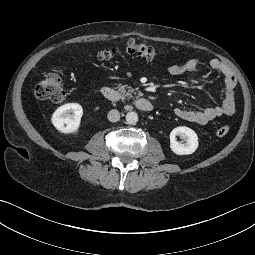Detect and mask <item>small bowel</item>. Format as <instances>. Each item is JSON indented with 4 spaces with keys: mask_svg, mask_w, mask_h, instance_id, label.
Masks as SVG:
<instances>
[{
    "mask_svg": "<svg viewBox=\"0 0 255 255\" xmlns=\"http://www.w3.org/2000/svg\"><path fill=\"white\" fill-rule=\"evenodd\" d=\"M209 66L223 76L224 94L222 103L201 110L176 108L174 113L178 118L204 125L217 118L230 116L235 112V89L237 85L235 74L219 59H212ZM168 71L171 75L178 76L185 73L199 74L201 69L199 62L191 58L183 63L171 65Z\"/></svg>",
    "mask_w": 255,
    "mask_h": 255,
    "instance_id": "small-bowel-1",
    "label": "small bowel"
}]
</instances>
